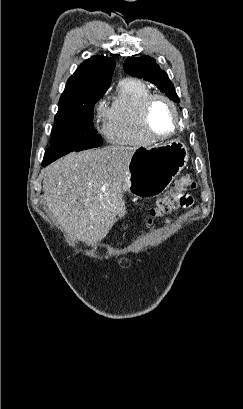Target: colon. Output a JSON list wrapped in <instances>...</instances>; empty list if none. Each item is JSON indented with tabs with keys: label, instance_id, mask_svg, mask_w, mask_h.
Masks as SVG:
<instances>
[{
	"label": "colon",
	"instance_id": "5ec220e1",
	"mask_svg": "<svg viewBox=\"0 0 243 409\" xmlns=\"http://www.w3.org/2000/svg\"><path fill=\"white\" fill-rule=\"evenodd\" d=\"M195 187L196 183L190 175L182 176L176 185L163 197L159 198L151 208L149 221L152 222L156 218L163 217L176 208L190 205L191 197L188 194V190Z\"/></svg>",
	"mask_w": 243,
	"mask_h": 409
}]
</instances>
